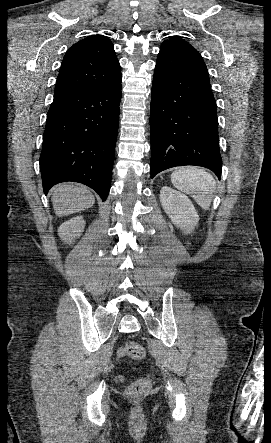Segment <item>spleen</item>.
I'll list each match as a JSON object with an SVG mask.
<instances>
[{
    "label": "spleen",
    "mask_w": 271,
    "mask_h": 443,
    "mask_svg": "<svg viewBox=\"0 0 271 443\" xmlns=\"http://www.w3.org/2000/svg\"><path fill=\"white\" fill-rule=\"evenodd\" d=\"M171 182L180 192L190 194L203 210H209L213 190H216V182L206 170L192 168V166L176 168L171 174Z\"/></svg>",
    "instance_id": "obj_1"
}]
</instances>
